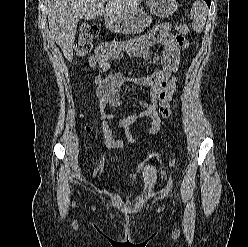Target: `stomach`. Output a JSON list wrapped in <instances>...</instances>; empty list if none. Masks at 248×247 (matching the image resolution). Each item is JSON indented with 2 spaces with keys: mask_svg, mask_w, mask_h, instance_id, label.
Masks as SVG:
<instances>
[{
  "mask_svg": "<svg viewBox=\"0 0 248 247\" xmlns=\"http://www.w3.org/2000/svg\"><path fill=\"white\" fill-rule=\"evenodd\" d=\"M150 14L137 10L127 18L107 20V27L116 33L136 34L143 32L151 24V15L168 17L177 10L176 0H146Z\"/></svg>",
  "mask_w": 248,
  "mask_h": 247,
  "instance_id": "1",
  "label": "stomach"
}]
</instances>
